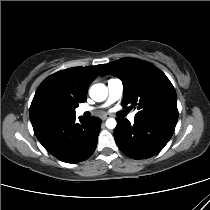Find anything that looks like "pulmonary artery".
<instances>
[{"mask_svg":"<svg viewBox=\"0 0 210 210\" xmlns=\"http://www.w3.org/2000/svg\"><path fill=\"white\" fill-rule=\"evenodd\" d=\"M107 88H108V99H107L106 104H110L118 100L123 94V83L118 78L109 79L107 82ZM93 110H94L93 107L82 106L78 109V114L81 115V114H84L85 112H90ZM128 118L130 121H133L135 118V114L131 113Z\"/></svg>","mask_w":210,"mask_h":210,"instance_id":"obj_1","label":"pulmonary artery"}]
</instances>
